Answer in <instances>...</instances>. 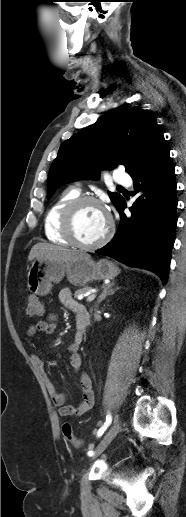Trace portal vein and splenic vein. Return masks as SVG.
I'll return each instance as SVG.
<instances>
[{
    "mask_svg": "<svg viewBox=\"0 0 186 517\" xmlns=\"http://www.w3.org/2000/svg\"><path fill=\"white\" fill-rule=\"evenodd\" d=\"M95 297H96V294H95V293H93V294H91V295H89V296L87 297V301H88V302H91V301H93V300L95 299Z\"/></svg>",
    "mask_w": 186,
    "mask_h": 517,
    "instance_id": "1",
    "label": "portal vein and splenic vein"
}]
</instances>
